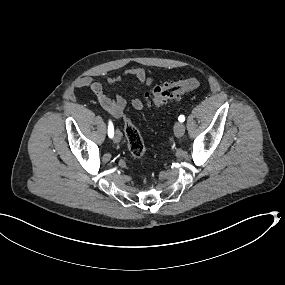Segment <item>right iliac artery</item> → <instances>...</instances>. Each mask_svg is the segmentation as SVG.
Returning a JSON list of instances; mask_svg holds the SVG:
<instances>
[{
  "instance_id": "right-iliac-artery-1",
  "label": "right iliac artery",
  "mask_w": 285,
  "mask_h": 285,
  "mask_svg": "<svg viewBox=\"0 0 285 285\" xmlns=\"http://www.w3.org/2000/svg\"><path fill=\"white\" fill-rule=\"evenodd\" d=\"M114 135V127L111 121H109V125H108V136L110 138H112Z\"/></svg>"
}]
</instances>
